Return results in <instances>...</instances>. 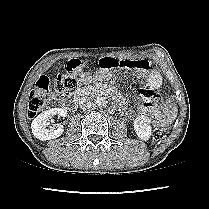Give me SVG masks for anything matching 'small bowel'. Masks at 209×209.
Listing matches in <instances>:
<instances>
[{"instance_id":"1","label":"small bowel","mask_w":209,"mask_h":209,"mask_svg":"<svg viewBox=\"0 0 209 209\" xmlns=\"http://www.w3.org/2000/svg\"><path fill=\"white\" fill-rule=\"evenodd\" d=\"M107 59L115 60L113 58ZM138 61L143 62L145 65L133 68L134 74L139 78H144L147 82L146 87L143 88L142 93L139 97L142 101L139 107V111L142 115L149 116L158 128L162 126H167V124L176 115V107L169 98H164L157 92L158 88H160L163 82L160 73L155 69H151L147 61ZM112 69L114 68L109 69L105 67H100L94 73V75L88 72H81L80 82L84 85H87L94 80H108L112 74ZM153 98L157 100V103L151 102Z\"/></svg>"}]
</instances>
